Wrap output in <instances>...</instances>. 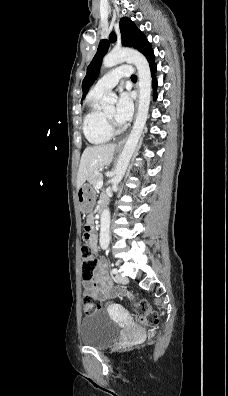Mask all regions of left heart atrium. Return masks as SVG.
<instances>
[{"label": "left heart atrium", "mask_w": 228, "mask_h": 396, "mask_svg": "<svg viewBox=\"0 0 228 396\" xmlns=\"http://www.w3.org/2000/svg\"><path fill=\"white\" fill-rule=\"evenodd\" d=\"M133 114V101L128 92H121L114 112V120L123 125L127 123Z\"/></svg>", "instance_id": "39dd6f15"}]
</instances>
